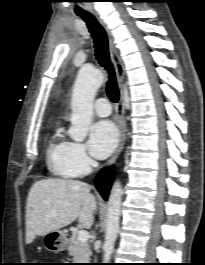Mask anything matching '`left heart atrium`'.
<instances>
[{
    "label": "left heart atrium",
    "instance_id": "39dd6f15",
    "mask_svg": "<svg viewBox=\"0 0 205 265\" xmlns=\"http://www.w3.org/2000/svg\"><path fill=\"white\" fill-rule=\"evenodd\" d=\"M118 131L116 126L108 120L96 122L90 132V151L99 159L107 157L116 147Z\"/></svg>",
    "mask_w": 205,
    "mask_h": 265
}]
</instances>
